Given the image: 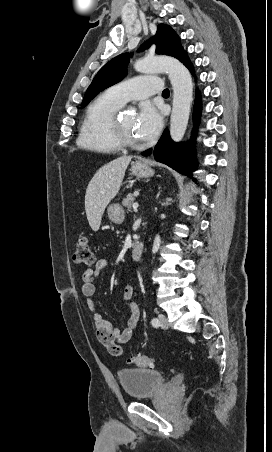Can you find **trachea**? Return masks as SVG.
Returning a JSON list of instances; mask_svg holds the SVG:
<instances>
[{
    "instance_id": "3493384b",
    "label": "trachea",
    "mask_w": 272,
    "mask_h": 452,
    "mask_svg": "<svg viewBox=\"0 0 272 452\" xmlns=\"http://www.w3.org/2000/svg\"><path fill=\"white\" fill-rule=\"evenodd\" d=\"M169 94H170V92L168 89H164L162 92V95H169Z\"/></svg>"
}]
</instances>
